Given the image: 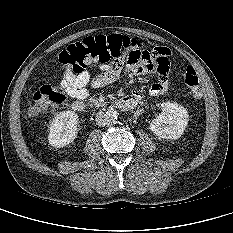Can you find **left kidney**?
Segmentation results:
<instances>
[{
	"mask_svg": "<svg viewBox=\"0 0 233 233\" xmlns=\"http://www.w3.org/2000/svg\"><path fill=\"white\" fill-rule=\"evenodd\" d=\"M161 113L150 124V130L163 139L179 138L189 121L187 110L177 103L164 102L161 104Z\"/></svg>",
	"mask_w": 233,
	"mask_h": 233,
	"instance_id": "5707ae66",
	"label": "left kidney"
}]
</instances>
